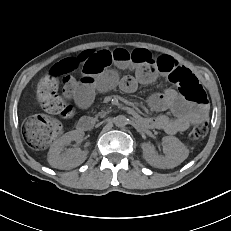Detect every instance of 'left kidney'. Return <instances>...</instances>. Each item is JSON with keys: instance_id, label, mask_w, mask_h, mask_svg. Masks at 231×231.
Returning a JSON list of instances; mask_svg holds the SVG:
<instances>
[{"instance_id": "obj_1", "label": "left kidney", "mask_w": 231, "mask_h": 231, "mask_svg": "<svg viewBox=\"0 0 231 231\" xmlns=\"http://www.w3.org/2000/svg\"><path fill=\"white\" fill-rule=\"evenodd\" d=\"M163 152L165 156L157 155L155 148L150 143L141 145L144 159L157 168H174L182 163L189 154L186 146L174 136H166L162 138Z\"/></svg>"}]
</instances>
